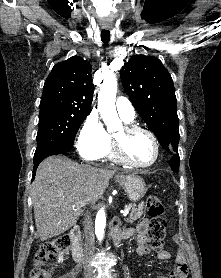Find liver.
<instances>
[{
  "instance_id": "obj_1",
  "label": "liver",
  "mask_w": 221,
  "mask_h": 278,
  "mask_svg": "<svg viewBox=\"0 0 221 278\" xmlns=\"http://www.w3.org/2000/svg\"><path fill=\"white\" fill-rule=\"evenodd\" d=\"M114 170L79 165L65 156L44 159L32 184V202L40 240L58 236L77 223L80 209L98 201Z\"/></svg>"
}]
</instances>
